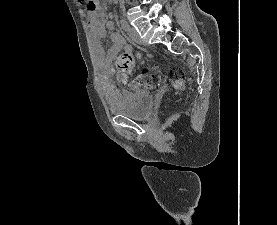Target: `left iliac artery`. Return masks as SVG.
<instances>
[{
	"mask_svg": "<svg viewBox=\"0 0 277 225\" xmlns=\"http://www.w3.org/2000/svg\"><path fill=\"white\" fill-rule=\"evenodd\" d=\"M120 23H121V27L123 28V30H125V31L130 30V26L127 21H125L124 19H121Z\"/></svg>",
	"mask_w": 277,
	"mask_h": 225,
	"instance_id": "1",
	"label": "left iliac artery"
}]
</instances>
